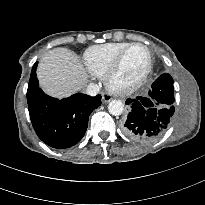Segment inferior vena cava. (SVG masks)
<instances>
[{
  "mask_svg": "<svg viewBox=\"0 0 205 205\" xmlns=\"http://www.w3.org/2000/svg\"><path fill=\"white\" fill-rule=\"evenodd\" d=\"M99 91L100 88L95 83H90L85 90L86 94L89 96H96L99 93Z\"/></svg>",
  "mask_w": 205,
  "mask_h": 205,
  "instance_id": "1",
  "label": "inferior vena cava"
}]
</instances>
